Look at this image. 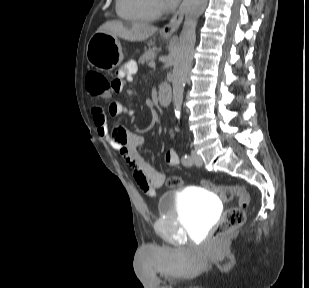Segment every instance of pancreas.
I'll use <instances>...</instances> for the list:
<instances>
[{
  "mask_svg": "<svg viewBox=\"0 0 309 288\" xmlns=\"http://www.w3.org/2000/svg\"><path fill=\"white\" fill-rule=\"evenodd\" d=\"M157 48L154 47L152 49H148L145 51V53L140 57L139 63L144 64V63H150L151 61L154 60L155 53H156Z\"/></svg>",
  "mask_w": 309,
  "mask_h": 288,
  "instance_id": "pancreas-1",
  "label": "pancreas"
}]
</instances>
